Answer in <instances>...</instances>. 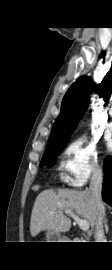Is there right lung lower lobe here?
Instances as JSON below:
<instances>
[{
    "instance_id": "obj_1",
    "label": "right lung lower lobe",
    "mask_w": 112,
    "mask_h": 270,
    "mask_svg": "<svg viewBox=\"0 0 112 270\" xmlns=\"http://www.w3.org/2000/svg\"><path fill=\"white\" fill-rule=\"evenodd\" d=\"M104 164L102 197L106 203L112 206V156H107L104 160Z\"/></svg>"
}]
</instances>
